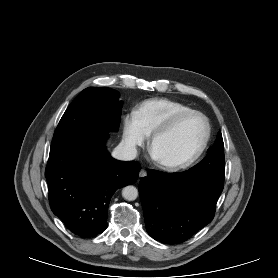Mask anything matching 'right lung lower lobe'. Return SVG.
<instances>
[{"mask_svg": "<svg viewBox=\"0 0 278 278\" xmlns=\"http://www.w3.org/2000/svg\"><path fill=\"white\" fill-rule=\"evenodd\" d=\"M108 132H89L51 145L45 177L53 213L81 237L107 228V212L114 192L133 184L141 166L123 162L104 149Z\"/></svg>", "mask_w": 278, "mask_h": 278, "instance_id": "right-lung-lower-lobe-1", "label": "right lung lower lobe"}]
</instances>
